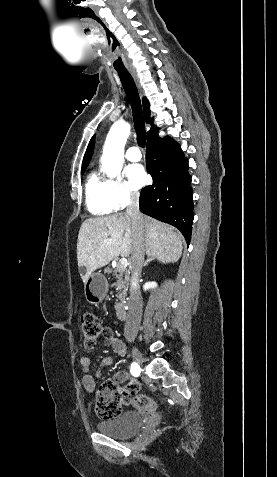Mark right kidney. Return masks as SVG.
I'll return each instance as SVG.
<instances>
[{
    "label": "right kidney",
    "mask_w": 277,
    "mask_h": 477,
    "mask_svg": "<svg viewBox=\"0 0 277 477\" xmlns=\"http://www.w3.org/2000/svg\"><path fill=\"white\" fill-rule=\"evenodd\" d=\"M157 287V283L156 282H147L144 284L143 286V289L146 291L148 289H153V288H156Z\"/></svg>",
    "instance_id": "ca27d5eb"
}]
</instances>
